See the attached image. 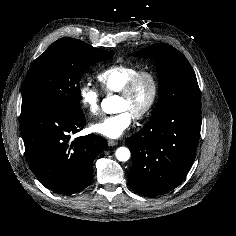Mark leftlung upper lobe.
I'll return each mask as SVG.
<instances>
[{
  "label": "left lung upper lobe",
  "mask_w": 236,
  "mask_h": 236,
  "mask_svg": "<svg viewBox=\"0 0 236 236\" xmlns=\"http://www.w3.org/2000/svg\"><path fill=\"white\" fill-rule=\"evenodd\" d=\"M135 57L152 58L159 74V100L149 122L181 108H201L197 79L185 56L168 44H155L139 50Z\"/></svg>",
  "instance_id": "5c2ea615"
}]
</instances>
